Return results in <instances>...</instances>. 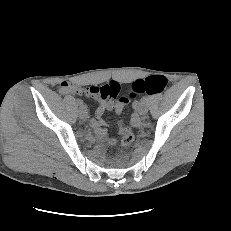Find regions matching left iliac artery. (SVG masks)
<instances>
[{
	"instance_id": "obj_1",
	"label": "left iliac artery",
	"mask_w": 231,
	"mask_h": 231,
	"mask_svg": "<svg viewBox=\"0 0 231 231\" xmlns=\"http://www.w3.org/2000/svg\"><path fill=\"white\" fill-rule=\"evenodd\" d=\"M141 101L144 103V102H147L148 101V97L147 96H143Z\"/></svg>"
}]
</instances>
